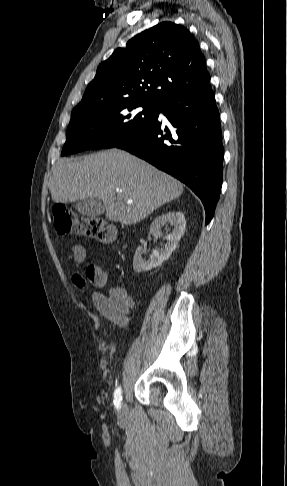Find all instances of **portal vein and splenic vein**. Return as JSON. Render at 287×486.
Instances as JSON below:
<instances>
[{"label":"portal vein and splenic vein","mask_w":287,"mask_h":486,"mask_svg":"<svg viewBox=\"0 0 287 486\" xmlns=\"http://www.w3.org/2000/svg\"><path fill=\"white\" fill-rule=\"evenodd\" d=\"M128 203H132V201H128Z\"/></svg>","instance_id":"1"}]
</instances>
